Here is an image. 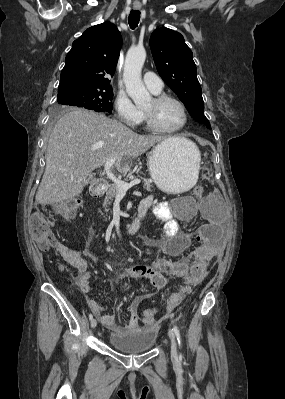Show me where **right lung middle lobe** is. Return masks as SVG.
Returning a JSON list of instances; mask_svg holds the SVG:
<instances>
[{
	"mask_svg": "<svg viewBox=\"0 0 285 399\" xmlns=\"http://www.w3.org/2000/svg\"><path fill=\"white\" fill-rule=\"evenodd\" d=\"M112 98V89H78L57 95L59 109L76 106L108 113L112 111Z\"/></svg>",
	"mask_w": 285,
	"mask_h": 399,
	"instance_id": "right-lung-middle-lobe-1",
	"label": "right lung middle lobe"
}]
</instances>
